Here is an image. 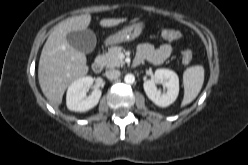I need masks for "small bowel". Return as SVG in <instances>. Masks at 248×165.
Masks as SVG:
<instances>
[{"mask_svg":"<svg viewBox=\"0 0 248 165\" xmlns=\"http://www.w3.org/2000/svg\"><path fill=\"white\" fill-rule=\"evenodd\" d=\"M172 51L173 48L170 44L154 47L150 43H142L138 47L137 57H141L153 65H159L171 56Z\"/></svg>","mask_w":248,"mask_h":165,"instance_id":"c3829d8e","label":"small bowel"}]
</instances>
